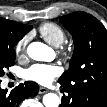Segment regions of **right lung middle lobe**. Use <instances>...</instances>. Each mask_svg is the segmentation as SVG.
Masks as SVG:
<instances>
[{"instance_id": "right-lung-middle-lobe-1", "label": "right lung middle lobe", "mask_w": 107, "mask_h": 107, "mask_svg": "<svg viewBox=\"0 0 107 107\" xmlns=\"http://www.w3.org/2000/svg\"><path fill=\"white\" fill-rule=\"evenodd\" d=\"M15 62V51L13 47L0 50V77L4 76L5 69L13 66Z\"/></svg>"}]
</instances>
